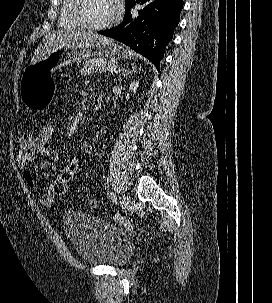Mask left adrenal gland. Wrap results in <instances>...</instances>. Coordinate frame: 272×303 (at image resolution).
Segmentation results:
<instances>
[{
  "instance_id": "obj_1",
  "label": "left adrenal gland",
  "mask_w": 272,
  "mask_h": 303,
  "mask_svg": "<svg viewBox=\"0 0 272 303\" xmlns=\"http://www.w3.org/2000/svg\"><path fill=\"white\" fill-rule=\"evenodd\" d=\"M141 70V68L139 69V71ZM137 72V69H136V67H132V70H124V72H123V74H122V76H120L119 78H118V80L120 81L121 80V78L122 77H127L128 75H130V74H132V73H136Z\"/></svg>"
}]
</instances>
